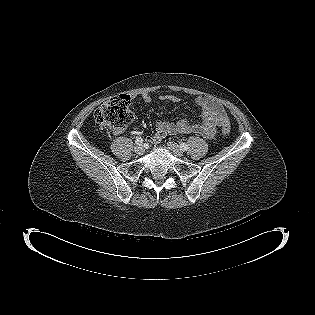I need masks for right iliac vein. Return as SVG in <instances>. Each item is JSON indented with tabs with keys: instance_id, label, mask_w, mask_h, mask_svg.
<instances>
[{
	"instance_id": "right-iliac-vein-1",
	"label": "right iliac vein",
	"mask_w": 315,
	"mask_h": 315,
	"mask_svg": "<svg viewBox=\"0 0 315 315\" xmlns=\"http://www.w3.org/2000/svg\"><path fill=\"white\" fill-rule=\"evenodd\" d=\"M144 151L145 150H144L143 146H141V145L135 147V153L138 155H142L144 153Z\"/></svg>"
}]
</instances>
